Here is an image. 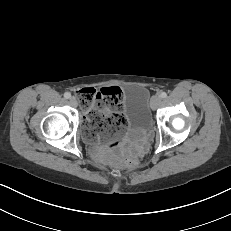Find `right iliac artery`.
I'll use <instances>...</instances> for the list:
<instances>
[{"label": "right iliac artery", "mask_w": 231, "mask_h": 231, "mask_svg": "<svg viewBox=\"0 0 231 231\" xmlns=\"http://www.w3.org/2000/svg\"><path fill=\"white\" fill-rule=\"evenodd\" d=\"M64 98L70 99L71 98V94L69 92L64 93Z\"/></svg>", "instance_id": "1"}]
</instances>
